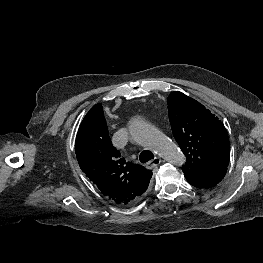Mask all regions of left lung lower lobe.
Masks as SVG:
<instances>
[{"mask_svg": "<svg viewBox=\"0 0 263 263\" xmlns=\"http://www.w3.org/2000/svg\"><path fill=\"white\" fill-rule=\"evenodd\" d=\"M187 181L197 188H211L225 176L224 170L182 169Z\"/></svg>", "mask_w": 263, "mask_h": 263, "instance_id": "left-lung-lower-lobe-1", "label": "left lung lower lobe"}]
</instances>
